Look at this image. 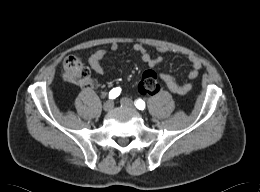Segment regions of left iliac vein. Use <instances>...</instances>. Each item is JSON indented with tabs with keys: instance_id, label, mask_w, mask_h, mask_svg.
<instances>
[{
	"instance_id": "obj_1",
	"label": "left iliac vein",
	"mask_w": 260,
	"mask_h": 192,
	"mask_svg": "<svg viewBox=\"0 0 260 192\" xmlns=\"http://www.w3.org/2000/svg\"><path fill=\"white\" fill-rule=\"evenodd\" d=\"M121 104L130 108V109H134V104H133V101L129 98H122L121 99Z\"/></svg>"
}]
</instances>
